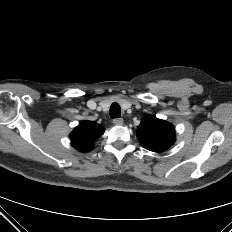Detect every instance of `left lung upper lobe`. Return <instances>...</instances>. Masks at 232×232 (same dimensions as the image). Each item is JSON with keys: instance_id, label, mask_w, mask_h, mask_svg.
<instances>
[{"instance_id": "5c2ea615", "label": "left lung upper lobe", "mask_w": 232, "mask_h": 232, "mask_svg": "<svg viewBox=\"0 0 232 232\" xmlns=\"http://www.w3.org/2000/svg\"><path fill=\"white\" fill-rule=\"evenodd\" d=\"M141 145L154 152H162L175 142L172 124L153 116H145L137 128Z\"/></svg>"}]
</instances>
